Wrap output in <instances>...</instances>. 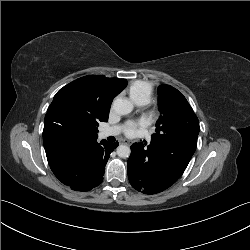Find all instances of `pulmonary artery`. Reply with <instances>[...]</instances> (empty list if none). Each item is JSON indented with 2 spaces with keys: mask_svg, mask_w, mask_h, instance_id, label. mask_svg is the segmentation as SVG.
<instances>
[{
  "mask_svg": "<svg viewBox=\"0 0 250 250\" xmlns=\"http://www.w3.org/2000/svg\"><path fill=\"white\" fill-rule=\"evenodd\" d=\"M138 105H144V102H137ZM121 132L120 126L107 127L101 130L100 136L102 138H107L109 136H116Z\"/></svg>",
  "mask_w": 250,
  "mask_h": 250,
  "instance_id": "obj_1",
  "label": "pulmonary artery"
}]
</instances>
